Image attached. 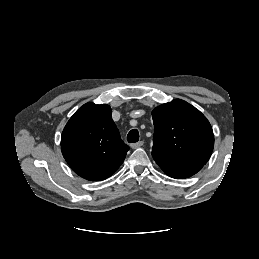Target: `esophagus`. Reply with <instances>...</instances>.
I'll list each match as a JSON object with an SVG mask.
<instances>
[{
    "mask_svg": "<svg viewBox=\"0 0 259 259\" xmlns=\"http://www.w3.org/2000/svg\"><path fill=\"white\" fill-rule=\"evenodd\" d=\"M143 144H144L143 141H139V142H137V143H133V144L131 145V148H132V149H137V148L143 146Z\"/></svg>",
    "mask_w": 259,
    "mask_h": 259,
    "instance_id": "esophagus-1",
    "label": "esophagus"
}]
</instances>
